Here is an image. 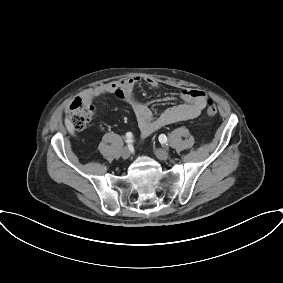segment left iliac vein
Wrapping results in <instances>:
<instances>
[{"label":"left iliac vein","mask_w":283,"mask_h":283,"mask_svg":"<svg viewBox=\"0 0 283 283\" xmlns=\"http://www.w3.org/2000/svg\"><path fill=\"white\" fill-rule=\"evenodd\" d=\"M154 153L159 160H167L169 158V154L161 148L155 149Z\"/></svg>","instance_id":"obj_1"}]
</instances>
